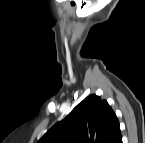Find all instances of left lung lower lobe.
<instances>
[{
    "instance_id": "left-lung-lower-lobe-1",
    "label": "left lung lower lobe",
    "mask_w": 145,
    "mask_h": 143,
    "mask_svg": "<svg viewBox=\"0 0 145 143\" xmlns=\"http://www.w3.org/2000/svg\"><path fill=\"white\" fill-rule=\"evenodd\" d=\"M114 143H122V137L119 136V137L117 138V140H116Z\"/></svg>"
}]
</instances>
